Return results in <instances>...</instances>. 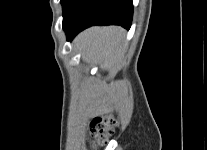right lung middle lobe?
Segmentation results:
<instances>
[{"mask_svg":"<svg viewBox=\"0 0 207 150\" xmlns=\"http://www.w3.org/2000/svg\"><path fill=\"white\" fill-rule=\"evenodd\" d=\"M73 0H61L63 11L72 3Z\"/></svg>","mask_w":207,"mask_h":150,"instance_id":"1","label":"right lung middle lobe"}]
</instances>
